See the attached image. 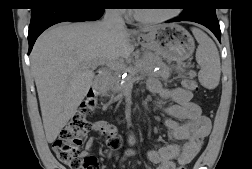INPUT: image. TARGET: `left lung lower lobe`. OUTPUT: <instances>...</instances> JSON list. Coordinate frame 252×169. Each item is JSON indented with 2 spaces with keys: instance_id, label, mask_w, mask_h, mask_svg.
Returning a JSON list of instances; mask_svg holds the SVG:
<instances>
[{
  "instance_id": "0a47b994",
  "label": "left lung lower lobe",
  "mask_w": 252,
  "mask_h": 169,
  "mask_svg": "<svg viewBox=\"0 0 252 169\" xmlns=\"http://www.w3.org/2000/svg\"><path fill=\"white\" fill-rule=\"evenodd\" d=\"M192 21L204 25L210 29L219 41H221V31L216 13L196 14L193 16H180L168 22Z\"/></svg>"
}]
</instances>
